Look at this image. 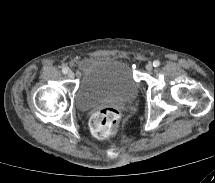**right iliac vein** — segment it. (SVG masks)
<instances>
[{"instance_id":"63e3f726","label":"right iliac vein","mask_w":215,"mask_h":183,"mask_svg":"<svg viewBox=\"0 0 215 183\" xmlns=\"http://www.w3.org/2000/svg\"><path fill=\"white\" fill-rule=\"evenodd\" d=\"M67 75H68V77L71 78V79L75 77V74H74L72 71L68 72Z\"/></svg>"}]
</instances>
